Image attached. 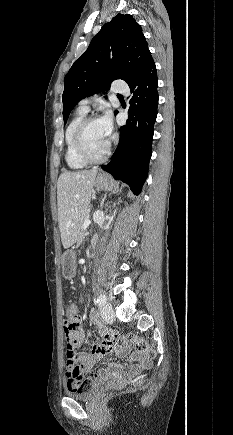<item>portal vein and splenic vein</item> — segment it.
<instances>
[{"label": "portal vein and splenic vein", "mask_w": 233, "mask_h": 435, "mask_svg": "<svg viewBox=\"0 0 233 435\" xmlns=\"http://www.w3.org/2000/svg\"><path fill=\"white\" fill-rule=\"evenodd\" d=\"M90 224H91V221L88 219V220H86V221L83 223L82 227H83L84 229H86Z\"/></svg>", "instance_id": "1"}]
</instances>
